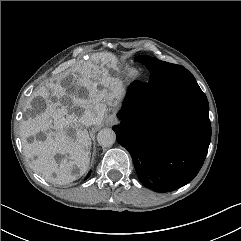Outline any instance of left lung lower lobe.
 <instances>
[{"instance_id": "left-lung-lower-lobe-1", "label": "left lung lower lobe", "mask_w": 241, "mask_h": 241, "mask_svg": "<svg viewBox=\"0 0 241 241\" xmlns=\"http://www.w3.org/2000/svg\"><path fill=\"white\" fill-rule=\"evenodd\" d=\"M117 141L128 150L140 181L157 192L176 190L195 178L211 140L209 104L199 86L171 94L165 76L128 88Z\"/></svg>"}]
</instances>
